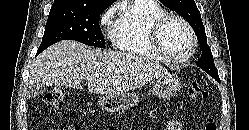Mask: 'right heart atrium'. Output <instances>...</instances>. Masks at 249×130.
<instances>
[{"label":"right heart atrium","mask_w":249,"mask_h":130,"mask_svg":"<svg viewBox=\"0 0 249 130\" xmlns=\"http://www.w3.org/2000/svg\"><path fill=\"white\" fill-rule=\"evenodd\" d=\"M116 11V6H112L109 9H107L100 18V24L106 25L110 19L113 17L114 13Z\"/></svg>","instance_id":"right-heart-atrium-1"}]
</instances>
